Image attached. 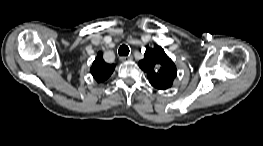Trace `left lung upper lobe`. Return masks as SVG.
<instances>
[{"label": "left lung upper lobe", "instance_id": "obj_1", "mask_svg": "<svg viewBox=\"0 0 263 146\" xmlns=\"http://www.w3.org/2000/svg\"><path fill=\"white\" fill-rule=\"evenodd\" d=\"M139 67L147 73L149 82L157 89L164 90L172 86L177 75L174 62L158 45L148 49L145 57L139 62Z\"/></svg>", "mask_w": 263, "mask_h": 146}]
</instances>
